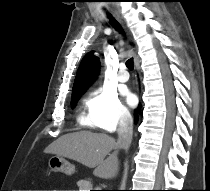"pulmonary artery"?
I'll return each mask as SVG.
<instances>
[{
	"instance_id": "obj_1",
	"label": "pulmonary artery",
	"mask_w": 210,
	"mask_h": 191,
	"mask_svg": "<svg viewBox=\"0 0 210 191\" xmlns=\"http://www.w3.org/2000/svg\"><path fill=\"white\" fill-rule=\"evenodd\" d=\"M117 78H118V81H119V82H122V83L128 81V79H129V74H128V72L126 71L125 65H124V64H121V65H120Z\"/></svg>"
}]
</instances>
